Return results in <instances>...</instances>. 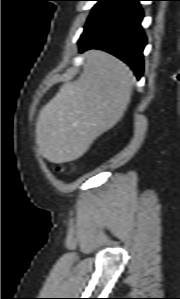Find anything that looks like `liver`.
Segmentation results:
<instances>
[{"mask_svg": "<svg viewBox=\"0 0 180 299\" xmlns=\"http://www.w3.org/2000/svg\"><path fill=\"white\" fill-rule=\"evenodd\" d=\"M83 71L65 83L39 112L36 143L55 164L82 157L92 143L124 115L134 83L130 69L99 50L84 54Z\"/></svg>", "mask_w": 180, "mask_h": 299, "instance_id": "liver-1", "label": "liver"}]
</instances>
